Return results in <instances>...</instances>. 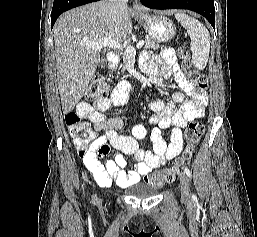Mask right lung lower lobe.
<instances>
[{
	"label": "right lung lower lobe",
	"mask_w": 257,
	"mask_h": 237,
	"mask_svg": "<svg viewBox=\"0 0 257 237\" xmlns=\"http://www.w3.org/2000/svg\"><path fill=\"white\" fill-rule=\"evenodd\" d=\"M99 0H54L52 14H51V27H53L57 18L65 11L74 8L76 6H80L83 4H87L90 2H95Z\"/></svg>",
	"instance_id": "1"
}]
</instances>
